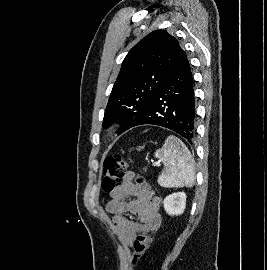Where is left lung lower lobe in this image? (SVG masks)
<instances>
[{"mask_svg":"<svg viewBox=\"0 0 267 270\" xmlns=\"http://www.w3.org/2000/svg\"><path fill=\"white\" fill-rule=\"evenodd\" d=\"M193 84L188 59L181 49L163 86L133 127L143 124L162 126L192 144L196 135Z\"/></svg>","mask_w":267,"mask_h":270,"instance_id":"left-lung-lower-lobe-1","label":"left lung lower lobe"}]
</instances>
